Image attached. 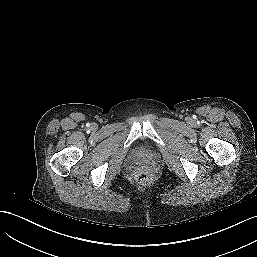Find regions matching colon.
<instances>
[{
    "instance_id": "obj_1",
    "label": "colon",
    "mask_w": 257,
    "mask_h": 257,
    "mask_svg": "<svg viewBox=\"0 0 257 257\" xmlns=\"http://www.w3.org/2000/svg\"><path fill=\"white\" fill-rule=\"evenodd\" d=\"M136 180L139 184H148L153 180V174L149 171H140L136 175Z\"/></svg>"
}]
</instances>
